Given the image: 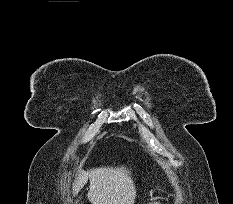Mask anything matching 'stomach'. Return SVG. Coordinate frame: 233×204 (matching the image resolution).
Segmentation results:
<instances>
[{
	"mask_svg": "<svg viewBox=\"0 0 233 204\" xmlns=\"http://www.w3.org/2000/svg\"><path fill=\"white\" fill-rule=\"evenodd\" d=\"M148 204H160V202L156 198H153L148 202Z\"/></svg>",
	"mask_w": 233,
	"mask_h": 204,
	"instance_id": "1",
	"label": "stomach"
}]
</instances>
